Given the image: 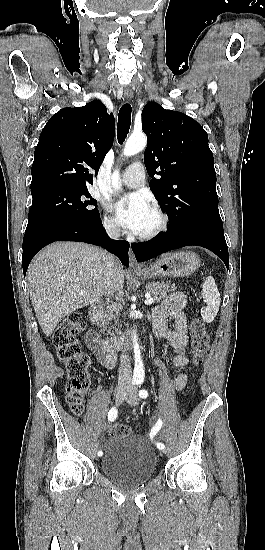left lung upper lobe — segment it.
Returning a JSON list of instances; mask_svg holds the SVG:
<instances>
[{"label": "left lung upper lobe", "instance_id": "5c2ea615", "mask_svg": "<svg viewBox=\"0 0 265 550\" xmlns=\"http://www.w3.org/2000/svg\"><path fill=\"white\" fill-rule=\"evenodd\" d=\"M142 130L148 145L144 163L150 188L169 218L168 229L197 224L223 231L216 172L208 135L194 119L155 102L144 106Z\"/></svg>", "mask_w": 265, "mask_h": 550}]
</instances>
